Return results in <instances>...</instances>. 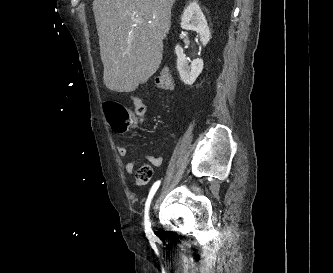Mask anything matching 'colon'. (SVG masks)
Returning <instances> with one entry per match:
<instances>
[{
  "mask_svg": "<svg viewBox=\"0 0 333 273\" xmlns=\"http://www.w3.org/2000/svg\"><path fill=\"white\" fill-rule=\"evenodd\" d=\"M156 85L160 90L169 91L173 87V79L167 67L161 69L156 76ZM104 112L110 126L117 133H125L136 123L133 113L116 101H106L104 103ZM153 174L150 165L142 164L136 172V181L140 184L149 182Z\"/></svg>",
  "mask_w": 333,
  "mask_h": 273,
  "instance_id": "colon-1",
  "label": "colon"
}]
</instances>
